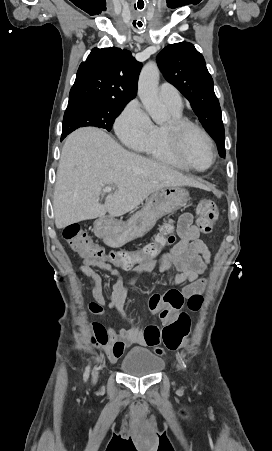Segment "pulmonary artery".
Returning a JSON list of instances; mask_svg holds the SVG:
<instances>
[{"mask_svg": "<svg viewBox=\"0 0 272 451\" xmlns=\"http://www.w3.org/2000/svg\"><path fill=\"white\" fill-rule=\"evenodd\" d=\"M160 98L169 104L174 110L181 111L183 102L180 93L169 84H162L159 87Z\"/></svg>", "mask_w": 272, "mask_h": 451, "instance_id": "1", "label": "pulmonary artery"}]
</instances>
